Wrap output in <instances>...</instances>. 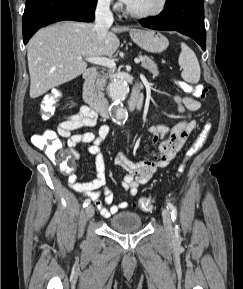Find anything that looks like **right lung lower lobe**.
I'll list each match as a JSON object with an SVG mask.
<instances>
[{
	"mask_svg": "<svg viewBox=\"0 0 243 289\" xmlns=\"http://www.w3.org/2000/svg\"><path fill=\"white\" fill-rule=\"evenodd\" d=\"M97 0H27L23 14L26 44L43 26L62 20L93 21Z\"/></svg>",
	"mask_w": 243,
	"mask_h": 289,
	"instance_id": "98d812e1",
	"label": "right lung lower lobe"
}]
</instances>
